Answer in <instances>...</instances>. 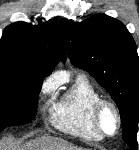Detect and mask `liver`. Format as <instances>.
<instances>
[{
    "mask_svg": "<svg viewBox=\"0 0 139 150\" xmlns=\"http://www.w3.org/2000/svg\"><path fill=\"white\" fill-rule=\"evenodd\" d=\"M1 148V146H0ZM24 149L19 150H86L81 147L75 146L66 140L50 137V136H43L32 142L27 143Z\"/></svg>",
    "mask_w": 139,
    "mask_h": 150,
    "instance_id": "1",
    "label": "liver"
}]
</instances>
